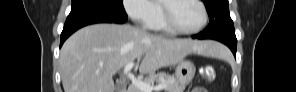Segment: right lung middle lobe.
Returning a JSON list of instances; mask_svg holds the SVG:
<instances>
[{"instance_id":"right-lung-middle-lobe-1","label":"right lung middle lobe","mask_w":296,"mask_h":92,"mask_svg":"<svg viewBox=\"0 0 296 92\" xmlns=\"http://www.w3.org/2000/svg\"><path fill=\"white\" fill-rule=\"evenodd\" d=\"M86 8L127 16L123 7V0H72V11Z\"/></svg>"}]
</instances>
